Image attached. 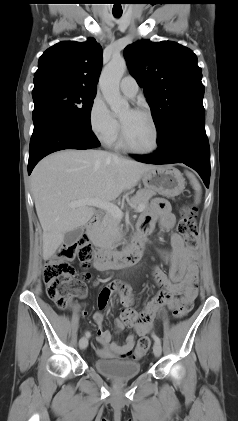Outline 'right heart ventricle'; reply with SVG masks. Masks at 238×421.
<instances>
[{
    "mask_svg": "<svg viewBox=\"0 0 238 421\" xmlns=\"http://www.w3.org/2000/svg\"><path fill=\"white\" fill-rule=\"evenodd\" d=\"M114 144H115V146L117 147V148H123V146H122V144H121V141L120 140H115L114 142H113Z\"/></svg>",
    "mask_w": 238,
    "mask_h": 421,
    "instance_id": "obj_1",
    "label": "right heart ventricle"
}]
</instances>
